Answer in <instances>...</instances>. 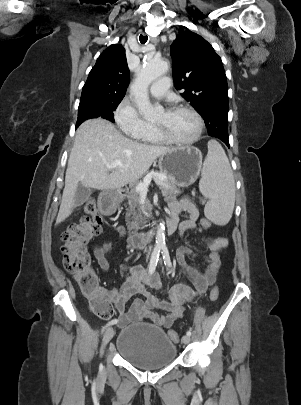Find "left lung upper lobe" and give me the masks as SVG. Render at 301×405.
I'll use <instances>...</instances> for the list:
<instances>
[{"mask_svg": "<svg viewBox=\"0 0 301 405\" xmlns=\"http://www.w3.org/2000/svg\"><path fill=\"white\" fill-rule=\"evenodd\" d=\"M170 51L175 88L203 117L210 136L228 135V86L221 58L190 30L176 37Z\"/></svg>", "mask_w": 301, "mask_h": 405, "instance_id": "5c2ea615", "label": "left lung upper lobe"}]
</instances>
